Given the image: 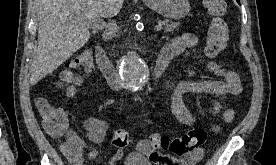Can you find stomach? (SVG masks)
<instances>
[{
  "mask_svg": "<svg viewBox=\"0 0 276 165\" xmlns=\"http://www.w3.org/2000/svg\"><path fill=\"white\" fill-rule=\"evenodd\" d=\"M143 2L152 10L170 19H181L190 10L188 0H143Z\"/></svg>",
  "mask_w": 276,
  "mask_h": 165,
  "instance_id": "0dacf381",
  "label": "stomach"
}]
</instances>
